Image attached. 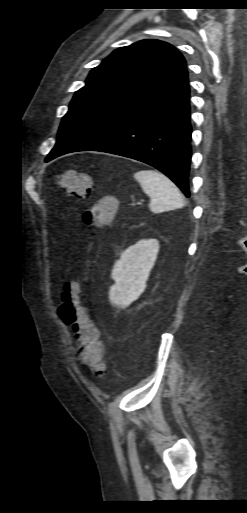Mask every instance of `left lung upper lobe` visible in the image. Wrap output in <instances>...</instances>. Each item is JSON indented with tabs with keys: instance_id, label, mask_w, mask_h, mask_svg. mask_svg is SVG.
Segmentation results:
<instances>
[{
	"instance_id": "5c2ea615",
	"label": "left lung upper lobe",
	"mask_w": 247,
	"mask_h": 513,
	"mask_svg": "<svg viewBox=\"0 0 247 513\" xmlns=\"http://www.w3.org/2000/svg\"><path fill=\"white\" fill-rule=\"evenodd\" d=\"M186 68L182 54L159 40L116 49L92 69L78 90L58 132L57 144L94 120L146 94Z\"/></svg>"
}]
</instances>
